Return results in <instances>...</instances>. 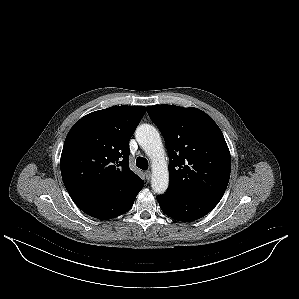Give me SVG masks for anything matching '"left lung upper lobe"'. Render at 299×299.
I'll use <instances>...</instances> for the list:
<instances>
[{"label":"left lung upper lobe","mask_w":299,"mask_h":299,"mask_svg":"<svg viewBox=\"0 0 299 299\" xmlns=\"http://www.w3.org/2000/svg\"><path fill=\"white\" fill-rule=\"evenodd\" d=\"M168 148L167 192L222 197L230 178L231 157L214 120L197 108L147 107Z\"/></svg>","instance_id":"left-lung-upper-lobe-1"}]
</instances>
